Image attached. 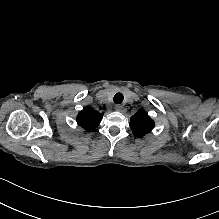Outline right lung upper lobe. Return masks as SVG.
<instances>
[{
    "mask_svg": "<svg viewBox=\"0 0 219 219\" xmlns=\"http://www.w3.org/2000/svg\"><path fill=\"white\" fill-rule=\"evenodd\" d=\"M103 114L91 107L84 108L77 116L78 124L88 131L94 130L100 123Z\"/></svg>",
    "mask_w": 219,
    "mask_h": 219,
    "instance_id": "1",
    "label": "right lung upper lobe"
}]
</instances>
